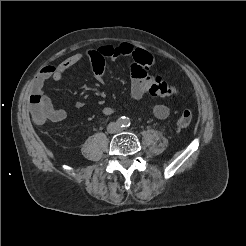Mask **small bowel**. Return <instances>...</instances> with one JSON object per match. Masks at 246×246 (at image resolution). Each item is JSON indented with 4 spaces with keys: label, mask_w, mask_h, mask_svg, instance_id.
Instances as JSON below:
<instances>
[{
    "label": "small bowel",
    "mask_w": 246,
    "mask_h": 246,
    "mask_svg": "<svg viewBox=\"0 0 246 246\" xmlns=\"http://www.w3.org/2000/svg\"><path fill=\"white\" fill-rule=\"evenodd\" d=\"M135 50L134 46L129 43H122L117 46L106 45L99 47L98 49L88 50L84 53H75L65 58L58 65L45 66L37 74L33 81V94L41 95L48 103L50 111L47 121L60 122L67 118L68 112L65 109H56L53 107L49 97L43 92L44 84L48 80L59 81L63 78L64 74L77 65L84 59H88L93 68L94 77L97 82L103 83L104 81V65L105 61L115 60L120 57H127L132 59V53ZM131 71V95L134 99L140 100L148 93L150 84L156 79L153 76L147 74V72H141L136 68L133 61L130 67ZM84 103L81 101L76 102V108L83 107ZM102 113L106 116L115 113V109L110 106L102 108ZM151 113L158 119H166L170 114V109L167 105L158 103L151 107Z\"/></svg>",
    "instance_id": "obj_1"
}]
</instances>
